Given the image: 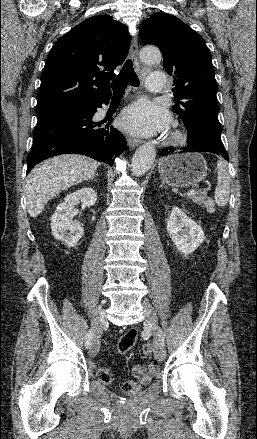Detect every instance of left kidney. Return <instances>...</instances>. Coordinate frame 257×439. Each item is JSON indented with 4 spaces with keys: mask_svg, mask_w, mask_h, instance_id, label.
I'll list each match as a JSON object with an SVG mask.
<instances>
[{
    "mask_svg": "<svg viewBox=\"0 0 257 439\" xmlns=\"http://www.w3.org/2000/svg\"><path fill=\"white\" fill-rule=\"evenodd\" d=\"M167 232L178 251L185 256L197 249L205 239L202 228L178 207H174L168 217Z\"/></svg>",
    "mask_w": 257,
    "mask_h": 439,
    "instance_id": "obj_1",
    "label": "left kidney"
}]
</instances>
